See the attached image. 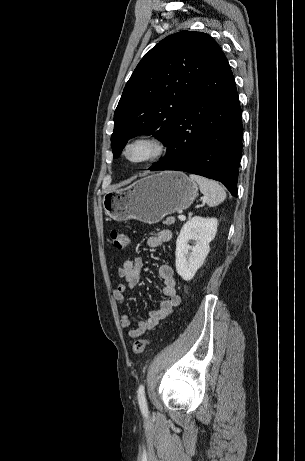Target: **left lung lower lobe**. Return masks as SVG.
<instances>
[{
    "instance_id": "0a47b994",
    "label": "left lung lower lobe",
    "mask_w": 305,
    "mask_h": 461,
    "mask_svg": "<svg viewBox=\"0 0 305 461\" xmlns=\"http://www.w3.org/2000/svg\"><path fill=\"white\" fill-rule=\"evenodd\" d=\"M243 127L235 80L222 52L190 93L149 170H178L220 181L237 197Z\"/></svg>"
}]
</instances>
